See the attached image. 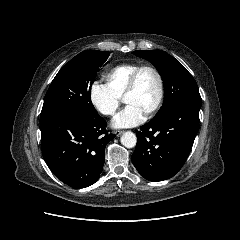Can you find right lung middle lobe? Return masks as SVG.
<instances>
[{"label":"right lung middle lobe","instance_id":"dd1d6c3e","mask_svg":"<svg viewBox=\"0 0 240 240\" xmlns=\"http://www.w3.org/2000/svg\"><path fill=\"white\" fill-rule=\"evenodd\" d=\"M109 54L107 51L86 50L64 65L45 95L40 121L63 113L97 116L91 102V86Z\"/></svg>","mask_w":240,"mask_h":240}]
</instances>
